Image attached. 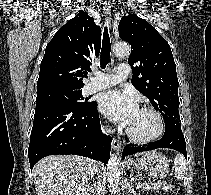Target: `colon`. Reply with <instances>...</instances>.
<instances>
[{"label":"colon","instance_id":"obj_1","mask_svg":"<svg viewBox=\"0 0 211 195\" xmlns=\"http://www.w3.org/2000/svg\"><path fill=\"white\" fill-rule=\"evenodd\" d=\"M173 186L172 185H164L163 187V192L166 194V195H170L172 192H173Z\"/></svg>","mask_w":211,"mask_h":195}]
</instances>
